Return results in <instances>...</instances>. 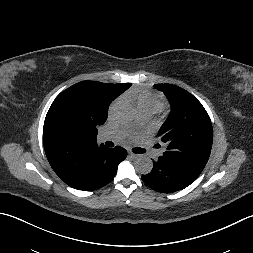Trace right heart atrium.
I'll use <instances>...</instances> for the list:
<instances>
[{
	"label": "right heart atrium",
	"instance_id": "right-heart-atrium-1",
	"mask_svg": "<svg viewBox=\"0 0 253 253\" xmlns=\"http://www.w3.org/2000/svg\"><path fill=\"white\" fill-rule=\"evenodd\" d=\"M121 102V99H117L116 101H114L110 108H109V115L111 116L115 111L116 109L118 108L119 104Z\"/></svg>",
	"mask_w": 253,
	"mask_h": 253
}]
</instances>
